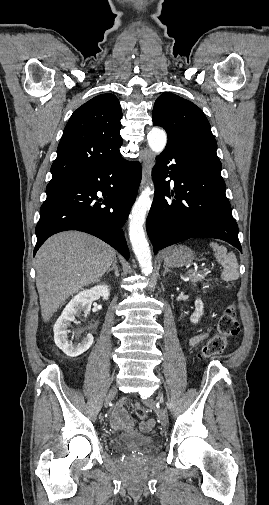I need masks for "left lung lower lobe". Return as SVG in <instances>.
Here are the masks:
<instances>
[{"label":"left lung lower lobe","mask_w":269,"mask_h":505,"mask_svg":"<svg viewBox=\"0 0 269 505\" xmlns=\"http://www.w3.org/2000/svg\"><path fill=\"white\" fill-rule=\"evenodd\" d=\"M221 169L212 151L177 137L168 138L153 169L155 196L146 220L155 254L195 237L221 239L242 252ZM168 174L174 180L173 191L170 181H165ZM165 195L175 200L167 201Z\"/></svg>","instance_id":"left-lung-lower-lobe-1"}]
</instances>
